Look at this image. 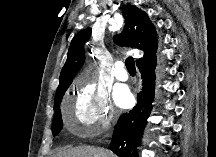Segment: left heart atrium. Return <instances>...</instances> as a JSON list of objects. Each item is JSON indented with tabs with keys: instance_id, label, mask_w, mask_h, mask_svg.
<instances>
[{
	"instance_id": "left-heart-atrium-1",
	"label": "left heart atrium",
	"mask_w": 216,
	"mask_h": 157,
	"mask_svg": "<svg viewBox=\"0 0 216 157\" xmlns=\"http://www.w3.org/2000/svg\"><path fill=\"white\" fill-rule=\"evenodd\" d=\"M114 99L118 106L122 108L129 107L132 103V94L126 86H119L114 92Z\"/></svg>"
}]
</instances>
